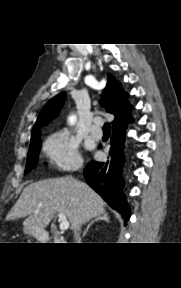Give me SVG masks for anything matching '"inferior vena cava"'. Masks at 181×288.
Segmentation results:
<instances>
[{"mask_svg":"<svg viewBox=\"0 0 181 288\" xmlns=\"http://www.w3.org/2000/svg\"><path fill=\"white\" fill-rule=\"evenodd\" d=\"M74 237H75V240H78V242H77V243H80V236H79V234H78V233H76Z\"/></svg>","mask_w":181,"mask_h":288,"instance_id":"inferior-vena-cava-1","label":"inferior vena cava"}]
</instances>
